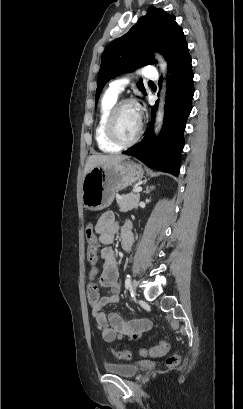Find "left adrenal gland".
I'll return each mask as SVG.
<instances>
[{
  "instance_id": "obj_1",
  "label": "left adrenal gland",
  "mask_w": 243,
  "mask_h": 409,
  "mask_svg": "<svg viewBox=\"0 0 243 409\" xmlns=\"http://www.w3.org/2000/svg\"><path fill=\"white\" fill-rule=\"evenodd\" d=\"M150 189H151V188H149V186H147V188H146V190H145V193H146V194H149V193H150Z\"/></svg>"
}]
</instances>
